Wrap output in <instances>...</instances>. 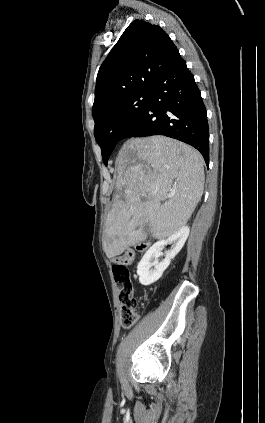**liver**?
Masks as SVG:
<instances>
[{"label": "liver", "instance_id": "liver-1", "mask_svg": "<svg viewBox=\"0 0 265 423\" xmlns=\"http://www.w3.org/2000/svg\"><path fill=\"white\" fill-rule=\"evenodd\" d=\"M116 190L106 219L108 258L184 227L204 190V159L193 147L164 136L131 138L117 159ZM163 202V204H162Z\"/></svg>", "mask_w": 265, "mask_h": 423}]
</instances>
